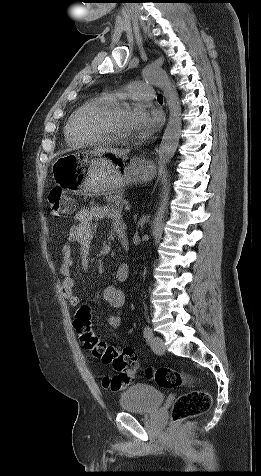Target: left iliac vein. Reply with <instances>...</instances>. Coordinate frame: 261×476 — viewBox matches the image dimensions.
Masks as SVG:
<instances>
[{"label": "left iliac vein", "instance_id": "obj_1", "mask_svg": "<svg viewBox=\"0 0 261 476\" xmlns=\"http://www.w3.org/2000/svg\"><path fill=\"white\" fill-rule=\"evenodd\" d=\"M151 348L153 350L154 353L156 354H163L165 352V344H164V341L162 340V338L158 337V336H154L151 338Z\"/></svg>", "mask_w": 261, "mask_h": 476}]
</instances>
